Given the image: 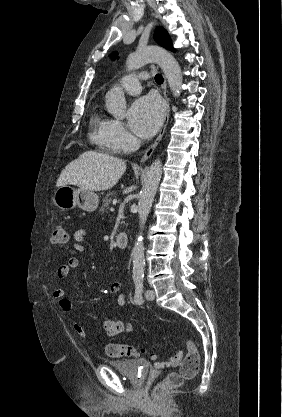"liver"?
<instances>
[{
    "label": "liver",
    "instance_id": "1",
    "mask_svg": "<svg viewBox=\"0 0 282 417\" xmlns=\"http://www.w3.org/2000/svg\"><path fill=\"white\" fill-rule=\"evenodd\" d=\"M126 170L125 160L86 150L63 168L56 186L76 184L83 190H108Z\"/></svg>",
    "mask_w": 282,
    "mask_h": 417
}]
</instances>
